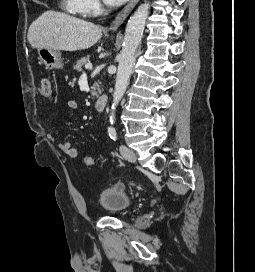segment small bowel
Wrapping results in <instances>:
<instances>
[{
  "instance_id": "1",
  "label": "small bowel",
  "mask_w": 255,
  "mask_h": 272,
  "mask_svg": "<svg viewBox=\"0 0 255 272\" xmlns=\"http://www.w3.org/2000/svg\"><path fill=\"white\" fill-rule=\"evenodd\" d=\"M68 106L72 111H77L78 110V105L74 101L69 102ZM48 139H49V141H51L53 143H55L57 141V138H56V136L54 134H49ZM58 147L69 158H76L78 156V154H79L78 149L68 141L59 142Z\"/></svg>"
}]
</instances>
